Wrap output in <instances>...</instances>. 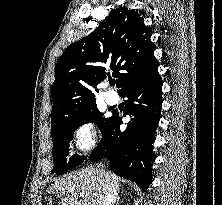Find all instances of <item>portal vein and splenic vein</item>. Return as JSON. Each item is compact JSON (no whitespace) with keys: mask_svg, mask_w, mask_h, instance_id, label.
<instances>
[{"mask_svg":"<svg viewBox=\"0 0 222 205\" xmlns=\"http://www.w3.org/2000/svg\"><path fill=\"white\" fill-rule=\"evenodd\" d=\"M80 195H81V196H84V193H81ZM83 205H86V204H83Z\"/></svg>","mask_w":222,"mask_h":205,"instance_id":"1","label":"portal vein and splenic vein"}]
</instances>
